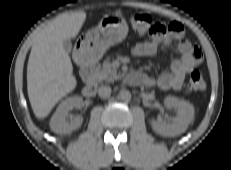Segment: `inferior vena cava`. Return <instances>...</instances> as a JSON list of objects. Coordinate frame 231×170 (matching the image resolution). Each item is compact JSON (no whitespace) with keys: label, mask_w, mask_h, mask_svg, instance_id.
<instances>
[{"label":"inferior vena cava","mask_w":231,"mask_h":170,"mask_svg":"<svg viewBox=\"0 0 231 170\" xmlns=\"http://www.w3.org/2000/svg\"><path fill=\"white\" fill-rule=\"evenodd\" d=\"M111 94V87L110 86H100L98 89V95L101 98H107Z\"/></svg>","instance_id":"obj_1"}]
</instances>
